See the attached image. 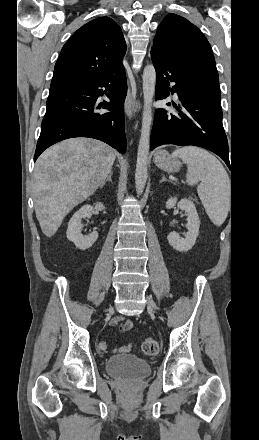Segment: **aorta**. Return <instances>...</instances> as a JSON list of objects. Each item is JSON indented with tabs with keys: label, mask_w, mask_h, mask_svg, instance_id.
Listing matches in <instances>:
<instances>
[{
	"label": "aorta",
	"mask_w": 259,
	"mask_h": 440,
	"mask_svg": "<svg viewBox=\"0 0 259 440\" xmlns=\"http://www.w3.org/2000/svg\"><path fill=\"white\" fill-rule=\"evenodd\" d=\"M156 72L153 65H148L143 71L144 110L142 117L141 137L138 145L137 164L135 171V186L137 195L144 191L147 181V163L149 155V137L152 124V100L155 94Z\"/></svg>",
	"instance_id": "obj_1"
}]
</instances>
